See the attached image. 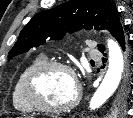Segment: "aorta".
<instances>
[{"mask_svg":"<svg viewBox=\"0 0 133 118\" xmlns=\"http://www.w3.org/2000/svg\"><path fill=\"white\" fill-rule=\"evenodd\" d=\"M107 46L109 50L108 70L101 85L90 100V110L100 108L114 94L123 76L124 57L119 44L113 39H108Z\"/></svg>","mask_w":133,"mask_h":118,"instance_id":"1","label":"aorta"}]
</instances>
